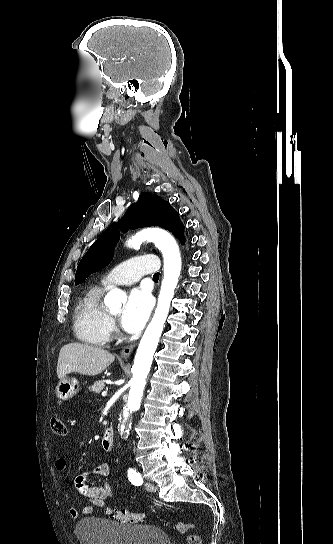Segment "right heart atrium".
<instances>
[{
    "label": "right heart atrium",
    "mask_w": 333,
    "mask_h": 544,
    "mask_svg": "<svg viewBox=\"0 0 333 544\" xmlns=\"http://www.w3.org/2000/svg\"><path fill=\"white\" fill-rule=\"evenodd\" d=\"M109 328H110V332H113L115 330L114 322L111 319H110Z\"/></svg>",
    "instance_id": "d8ad5b80"
}]
</instances>
